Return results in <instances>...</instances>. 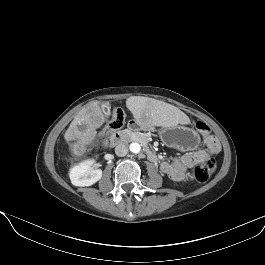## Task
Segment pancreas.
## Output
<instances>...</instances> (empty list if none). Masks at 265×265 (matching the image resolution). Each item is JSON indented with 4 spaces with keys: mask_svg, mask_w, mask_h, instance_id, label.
Wrapping results in <instances>:
<instances>
[{
    "mask_svg": "<svg viewBox=\"0 0 265 265\" xmlns=\"http://www.w3.org/2000/svg\"><path fill=\"white\" fill-rule=\"evenodd\" d=\"M131 137L136 140V141H140L143 144H147L148 142V136L146 134H141V133H131Z\"/></svg>",
    "mask_w": 265,
    "mask_h": 265,
    "instance_id": "cf45deb5",
    "label": "pancreas"
}]
</instances>
